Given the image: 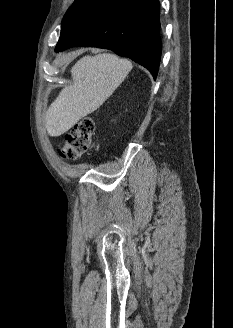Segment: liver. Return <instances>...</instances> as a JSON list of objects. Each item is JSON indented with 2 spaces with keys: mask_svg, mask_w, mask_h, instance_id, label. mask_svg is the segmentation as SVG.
I'll list each match as a JSON object with an SVG mask.
<instances>
[{
  "mask_svg": "<svg viewBox=\"0 0 233 328\" xmlns=\"http://www.w3.org/2000/svg\"><path fill=\"white\" fill-rule=\"evenodd\" d=\"M132 63L114 54L81 58L71 69L72 84L61 90L45 116L49 136L57 137L96 111L123 82Z\"/></svg>",
  "mask_w": 233,
  "mask_h": 328,
  "instance_id": "obj_1",
  "label": "liver"
}]
</instances>
